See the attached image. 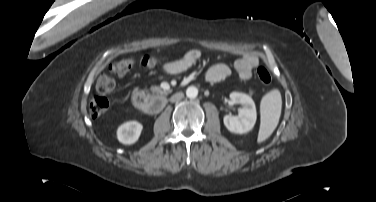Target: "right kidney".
<instances>
[{
    "label": "right kidney",
    "mask_w": 376,
    "mask_h": 202,
    "mask_svg": "<svg viewBox=\"0 0 376 202\" xmlns=\"http://www.w3.org/2000/svg\"><path fill=\"white\" fill-rule=\"evenodd\" d=\"M142 128V124L137 121L125 122L118 127L117 138L122 144H133L139 139Z\"/></svg>",
    "instance_id": "1"
}]
</instances>
